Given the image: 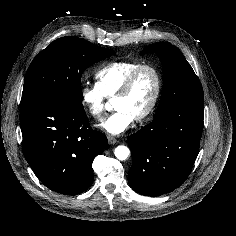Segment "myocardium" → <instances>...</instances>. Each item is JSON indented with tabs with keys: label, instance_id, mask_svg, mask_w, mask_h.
I'll return each mask as SVG.
<instances>
[{
	"label": "myocardium",
	"instance_id": "myocardium-1",
	"mask_svg": "<svg viewBox=\"0 0 236 236\" xmlns=\"http://www.w3.org/2000/svg\"><path fill=\"white\" fill-rule=\"evenodd\" d=\"M144 70H150L154 74L155 81H156V89H155L153 99L150 105L148 106V108L144 112H142L140 115L135 117V121L137 122L144 121L148 119L150 116H152L159 104L161 94H162V89H163V80H162V74L160 70L155 65L150 64V63L141 64L129 74V76L126 78V80L122 84L120 90L114 96V100L125 97L132 89L137 77Z\"/></svg>",
	"mask_w": 236,
	"mask_h": 236
}]
</instances>
